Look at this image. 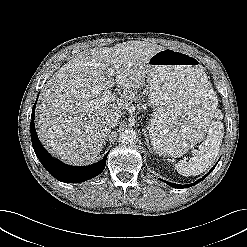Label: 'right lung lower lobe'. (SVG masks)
Masks as SVG:
<instances>
[{
    "label": "right lung lower lobe",
    "mask_w": 247,
    "mask_h": 247,
    "mask_svg": "<svg viewBox=\"0 0 247 247\" xmlns=\"http://www.w3.org/2000/svg\"><path fill=\"white\" fill-rule=\"evenodd\" d=\"M38 100V98H37ZM37 100L32 109L31 116V140L36 156L40 160L44 168L57 180L65 183H79L89 180L97 175H99L106 166V159L108 153L103 157V159L95 164L75 167L66 165L55 158H53L47 150L40 143L34 125L35 116V106Z\"/></svg>",
    "instance_id": "1"
}]
</instances>
